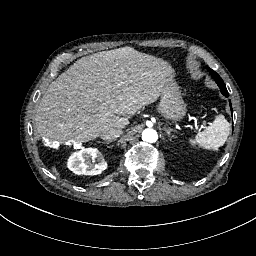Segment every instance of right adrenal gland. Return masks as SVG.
<instances>
[{
	"label": "right adrenal gland",
	"mask_w": 256,
	"mask_h": 256,
	"mask_svg": "<svg viewBox=\"0 0 256 256\" xmlns=\"http://www.w3.org/2000/svg\"><path fill=\"white\" fill-rule=\"evenodd\" d=\"M112 142V140H108V141H106V142H100V143H102V144H110Z\"/></svg>",
	"instance_id": "2a0ac1e0"
}]
</instances>
